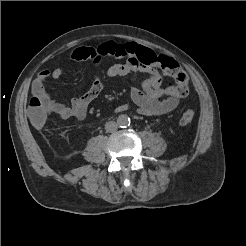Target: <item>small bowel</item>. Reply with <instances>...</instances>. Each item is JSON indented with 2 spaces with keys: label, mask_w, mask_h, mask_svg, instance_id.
<instances>
[{
  "label": "small bowel",
  "mask_w": 246,
  "mask_h": 246,
  "mask_svg": "<svg viewBox=\"0 0 246 246\" xmlns=\"http://www.w3.org/2000/svg\"><path fill=\"white\" fill-rule=\"evenodd\" d=\"M137 46L134 43L118 44L105 42L98 46H82L74 49L70 54L73 61H92L95 64L107 59L112 63L107 68V77L125 76L130 73L142 72L148 77L143 81L141 87H132L130 97L137 112L147 116H163L175 110L182 97L168 96L163 85L164 74L159 68L145 67L139 64L134 58ZM123 60V62H115ZM65 73L64 67H57L53 70L42 69L32 83V94L45 99L50 107V114L60 119L76 117L84 119L88 112L90 103L102 92L104 85L101 78L96 77L90 89L80 97H75L68 104L54 100L45 90L44 84L47 79H59ZM129 104H122L115 108L116 112L130 109Z\"/></svg>",
  "instance_id": "small-bowel-1"
}]
</instances>
